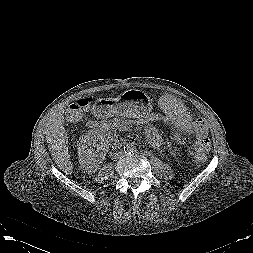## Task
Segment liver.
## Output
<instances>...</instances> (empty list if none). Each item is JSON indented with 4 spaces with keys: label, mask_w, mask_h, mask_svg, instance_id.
<instances>
[{
    "label": "liver",
    "mask_w": 253,
    "mask_h": 253,
    "mask_svg": "<svg viewBox=\"0 0 253 253\" xmlns=\"http://www.w3.org/2000/svg\"><path fill=\"white\" fill-rule=\"evenodd\" d=\"M82 98L78 97L75 100ZM63 107L58 108L50 117L46 128V140L56 165L66 174H71L73 165L68 152V137L63 126Z\"/></svg>",
    "instance_id": "liver-1"
}]
</instances>
